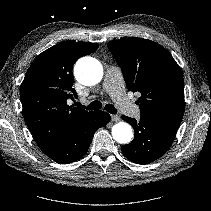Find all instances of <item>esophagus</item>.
I'll use <instances>...</instances> for the list:
<instances>
[{
	"mask_svg": "<svg viewBox=\"0 0 211 211\" xmlns=\"http://www.w3.org/2000/svg\"><path fill=\"white\" fill-rule=\"evenodd\" d=\"M120 116H118V115H111V120L112 121H114V122H118V121H120Z\"/></svg>",
	"mask_w": 211,
	"mask_h": 211,
	"instance_id": "34e87169",
	"label": "esophagus"
}]
</instances>
